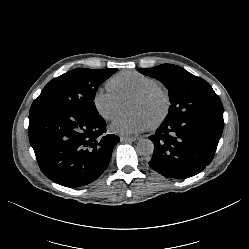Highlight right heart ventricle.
Here are the masks:
<instances>
[{
  "instance_id": "1",
  "label": "right heart ventricle",
  "mask_w": 249,
  "mask_h": 249,
  "mask_svg": "<svg viewBox=\"0 0 249 249\" xmlns=\"http://www.w3.org/2000/svg\"><path fill=\"white\" fill-rule=\"evenodd\" d=\"M157 85L158 81L155 78L134 70L121 71L108 80L109 89L120 100H125Z\"/></svg>"
}]
</instances>
